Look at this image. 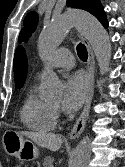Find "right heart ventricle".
<instances>
[{
    "label": "right heart ventricle",
    "instance_id": "obj_1",
    "mask_svg": "<svg viewBox=\"0 0 125 167\" xmlns=\"http://www.w3.org/2000/svg\"><path fill=\"white\" fill-rule=\"evenodd\" d=\"M22 124L37 132H50L56 127V115L50 105L41 100L31 88L19 111Z\"/></svg>",
    "mask_w": 125,
    "mask_h": 167
}]
</instances>
